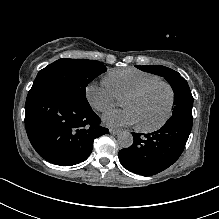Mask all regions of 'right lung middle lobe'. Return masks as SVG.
Instances as JSON below:
<instances>
[{
    "label": "right lung middle lobe",
    "instance_id": "dd1d6c3e",
    "mask_svg": "<svg viewBox=\"0 0 219 219\" xmlns=\"http://www.w3.org/2000/svg\"><path fill=\"white\" fill-rule=\"evenodd\" d=\"M106 70L103 63L95 60L59 59L39 71L30 90H57L88 105L86 86Z\"/></svg>",
    "mask_w": 219,
    "mask_h": 219
}]
</instances>
